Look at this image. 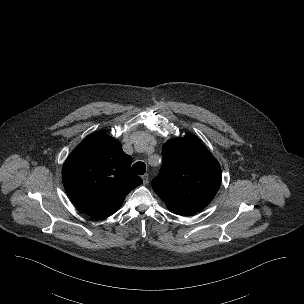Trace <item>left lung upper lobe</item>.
Listing matches in <instances>:
<instances>
[{
    "instance_id": "5c2ea615",
    "label": "left lung upper lobe",
    "mask_w": 304,
    "mask_h": 304,
    "mask_svg": "<svg viewBox=\"0 0 304 304\" xmlns=\"http://www.w3.org/2000/svg\"><path fill=\"white\" fill-rule=\"evenodd\" d=\"M163 164L152 188L175 214L192 215L204 209L221 184V168L193 136L167 141Z\"/></svg>"
}]
</instances>
